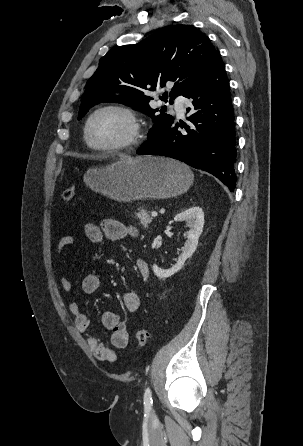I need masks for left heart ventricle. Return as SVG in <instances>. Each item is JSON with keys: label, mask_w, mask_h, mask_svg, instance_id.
I'll use <instances>...</instances> for the list:
<instances>
[{"label": "left heart ventricle", "mask_w": 303, "mask_h": 446, "mask_svg": "<svg viewBox=\"0 0 303 446\" xmlns=\"http://www.w3.org/2000/svg\"><path fill=\"white\" fill-rule=\"evenodd\" d=\"M130 124L121 114L105 111L98 114L89 128L90 141L96 146H110L128 137Z\"/></svg>", "instance_id": "obj_1"}]
</instances>
